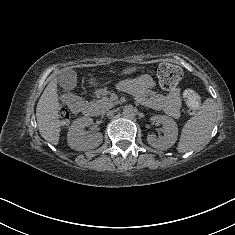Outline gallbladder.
Masks as SVG:
<instances>
[{"label": "gallbladder", "mask_w": 235, "mask_h": 235, "mask_svg": "<svg viewBox=\"0 0 235 235\" xmlns=\"http://www.w3.org/2000/svg\"><path fill=\"white\" fill-rule=\"evenodd\" d=\"M70 87H71V85H70V84H67V85H66V88H70Z\"/></svg>", "instance_id": "1"}]
</instances>
